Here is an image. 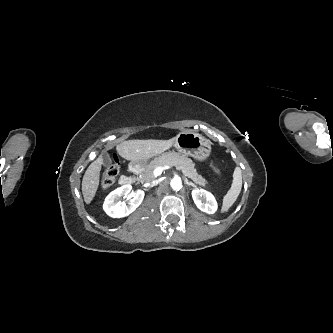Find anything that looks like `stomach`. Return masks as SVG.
<instances>
[{
	"instance_id": "0dacf381",
	"label": "stomach",
	"mask_w": 333,
	"mask_h": 333,
	"mask_svg": "<svg viewBox=\"0 0 333 333\" xmlns=\"http://www.w3.org/2000/svg\"><path fill=\"white\" fill-rule=\"evenodd\" d=\"M174 146L184 156L193 157L197 161H205L211 154V144L204 136L194 132H180L174 137ZM147 161L131 162V164L140 168Z\"/></svg>"
}]
</instances>
